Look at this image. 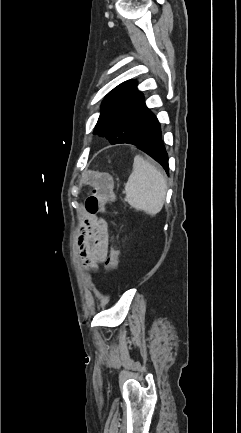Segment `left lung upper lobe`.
<instances>
[{"mask_svg": "<svg viewBox=\"0 0 241 433\" xmlns=\"http://www.w3.org/2000/svg\"><path fill=\"white\" fill-rule=\"evenodd\" d=\"M136 86L135 80L123 82L105 97L94 134L106 137L111 144L126 143L155 123L156 116Z\"/></svg>", "mask_w": 241, "mask_h": 433, "instance_id": "left-lung-upper-lobe-1", "label": "left lung upper lobe"}]
</instances>
